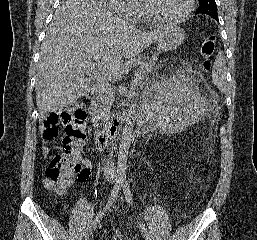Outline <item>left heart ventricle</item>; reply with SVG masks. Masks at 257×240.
<instances>
[{"label":"left heart ventricle","instance_id":"left-heart-ventricle-1","mask_svg":"<svg viewBox=\"0 0 257 240\" xmlns=\"http://www.w3.org/2000/svg\"><path fill=\"white\" fill-rule=\"evenodd\" d=\"M154 11L166 18L180 15L187 6V0H151Z\"/></svg>","mask_w":257,"mask_h":240}]
</instances>
